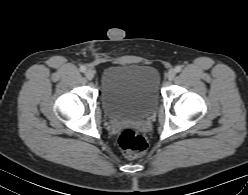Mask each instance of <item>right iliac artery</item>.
<instances>
[{
  "label": "right iliac artery",
  "mask_w": 248,
  "mask_h": 195,
  "mask_svg": "<svg viewBox=\"0 0 248 195\" xmlns=\"http://www.w3.org/2000/svg\"><path fill=\"white\" fill-rule=\"evenodd\" d=\"M80 71L81 72H85L86 71V67L85 66H80Z\"/></svg>",
  "instance_id": "82829eb1"
}]
</instances>
